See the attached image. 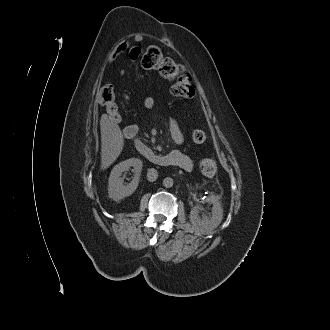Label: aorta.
Here are the masks:
<instances>
[{
  "mask_svg": "<svg viewBox=\"0 0 330 330\" xmlns=\"http://www.w3.org/2000/svg\"><path fill=\"white\" fill-rule=\"evenodd\" d=\"M174 184V181L172 178L170 177H166L164 180H163V186L166 187V188H171Z\"/></svg>",
  "mask_w": 330,
  "mask_h": 330,
  "instance_id": "1",
  "label": "aorta"
}]
</instances>
